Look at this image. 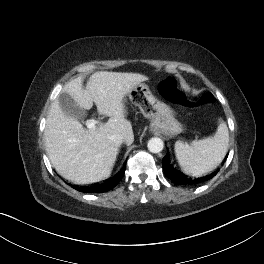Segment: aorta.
<instances>
[{"label":"aorta","mask_w":264,"mask_h":264,"mask_svg":"<svg viewBox=\"0 0 264 264\" xmlns=\"http://www.w3.org/2000/svg\"><path fill=\"white\" fill-rule=\"evenodd\" d=\"M147 147H148V150L150 152L159 153L163 150L164 143H163L162 139H160L158 137H154L148 141Z\"/></svg>","instance_id":"aorta-1"}]
</instances>
